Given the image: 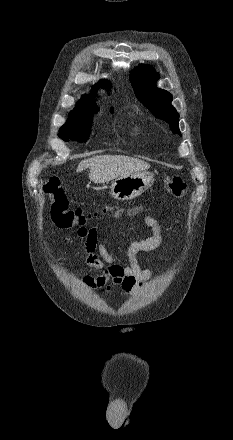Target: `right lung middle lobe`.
I'll use <instances>...</instances> for the list:
<instances>
[{"instance_id":"1","label":"right lung middle lobe","mask_w":233,"mask_h":440,"mask_svg":"<svg viewBox=\"0 0 233 440\" xmlns=\"http://www.w3.org/2000/svg\"><path fill=\"white\" fill-rule=\"evenodd\" d=\"M94 108H76L70 113V117L66 124H64L58 136L64 141H69L68 138L77 136L80 141H86L91 127V114L96 113ZM113 113V110H111Z\"/></svg>"}]
</instances>
